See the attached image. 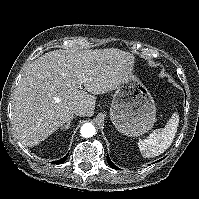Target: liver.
Instances as JSON below:
<instances>
[{"mask_svg":"<svg viewBox=\"0 0 199 199\" xmlns=\"http://www.w3.org/2000/svg\"><path fill=\"white\" fill-rule=\"evenodd\" d=\"M134 61L131 53L113 48L54 50L40 56L25 70L12 101L17 138L25 146L38 145L73 117L76 106L91 117L94 95L114 90Z\"/></svg>","mask_w":199,"mask_h":199,"instance_id":"obj_1","label":"liver"}]
</instances>
